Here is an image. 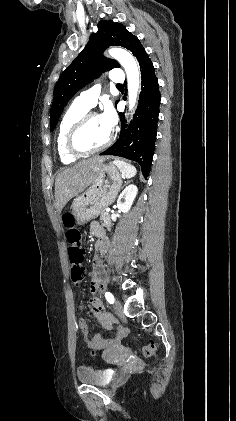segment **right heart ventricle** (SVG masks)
<instances>
[{
  "mask_svg": "<svg viewBox=\"0 0 236 421\" xmlns=\"http://www.w3.org/2000/svg\"><path fill=\"white\" fill-rule=\"evenodd\" d=\"M87 110L79 106L76 102H74L63 114L56 137V149L59 155V159L63 164H72L74 163L78 157L72 155L66 148L65 138L66 134L72 125V123L80 117L83 113Z\"/></svg>",
  "mask_w": 236,
  "mask_h": 421,
  "instance_id": "obj_1",
  "label": "right heart ventricle"
}]
</instances>
